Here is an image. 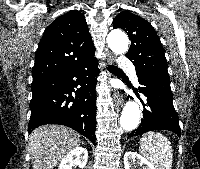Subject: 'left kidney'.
Segmentation results:
<instances>
[{
	"instance_id": "left-kidney-1",
	"label": "left kidney",
	"mask_w": 200,
	"mask_h": 169,
	"mask_svg": "<svg viewBox=\"0 0 200 169\" xmlns=\"http://www.w3.org/2000/svg\"><path fill=\"white\" fill-rule=\"evenodd\" d=\"M140 165L142 169H156L154 165L142 157L137 152L128 151L124 155L125 169H134L136 165Z\"/></svg>"
}]
</instances>
